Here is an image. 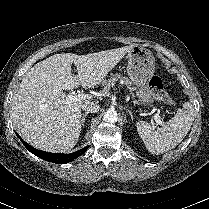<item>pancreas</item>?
I'll return each mask as SVG.
<instances>
[{"label":"pancreas","instance_id":"pancreas-1","mask_svg":"<svg viewBox=\"0 0 209 209\" xmlns=\"http://www.w3.org/2000/svg\"><path fill=\"white\" fill-rule=\"evenodd\" d=\"M117 80H122L124 82V84H126V86L130 90H132V87L130 85L131 83L128 80V78H126L122 74H117L116 73V74H111L108 79H105L103 81V89H102V92L103 93H107L108 91H110V89L113 87V85L116 83Z\"/></svg>","mask_w":209,"mask_h":209}]
</instances>
